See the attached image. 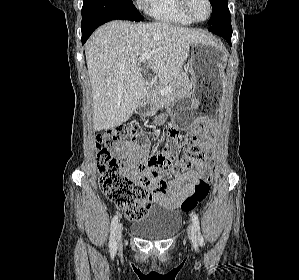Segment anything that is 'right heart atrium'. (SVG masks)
I'll list each match as a JSON object with an SVG mask.
<instances>
[{"label": "right heart atrium", "instance_id": "obj_1", "mask_svg": "<svg viewBox=\"0 0 299 280\" xmlns=\"http://www.w3.org/2000/svg\"><path fill=\"white\" fill-rule=\"evenodd\" d=\"M148 0H136V3L139 7H145Z\"/></svg>", "mask_w": 299, "mask_h": 280}]
</instances>
